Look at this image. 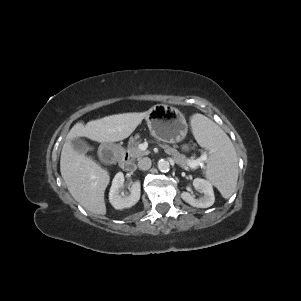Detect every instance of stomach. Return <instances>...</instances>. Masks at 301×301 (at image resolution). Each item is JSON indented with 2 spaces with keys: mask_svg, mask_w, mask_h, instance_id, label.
Here are the masks:
<instances>
[{
  "mask_svg": "<svg viewBox=\"0 0 301 301\" xmlns=\"http://www.w3.org/2000/svg\"><path fill=\"white\" fill-rule=\"evenodd\" d=\"M146 117L152 136L166 143L182 141L188 132L184 115L176 108L159 104L152 107Z\"/></svg>",
  "mask_w": 301,
  "mask_h": 301,
  "instance_id": "stomach-1",
  "label": "stomach"
}]
</instances>
